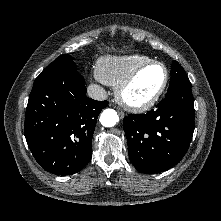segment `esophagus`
I'll return each mask as SVG.
<instances>
[{
    "instance_id": "obj_1",
    "label": "esophagus",
    "mask_w": 221,
    "mask_h": 221,
    "mask_svg": "<svg viewBox=\"0 0 221 221\" xmlns=\"http://www.w3.org/2000/svg\"><path fill=\"white\" fill-rule=\"evenodd\" d=\"M119 115H120L121 118H123L124 117V112L119 110Z\"/></svg>"
}]
</instances>
